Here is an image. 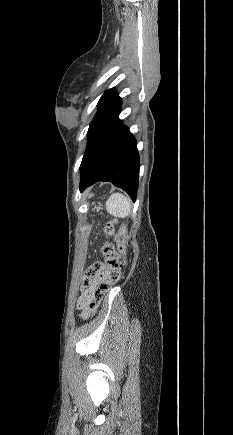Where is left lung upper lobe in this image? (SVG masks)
Masks as SVG:
<instances>
[{
    "instance_id": "obj_1",
    "label": "left lung upper lobe",
    "mask_w": 233,
    "mask_h": 435,
    "mask_svg": "<svg viewBox=\"0 0 233 435\" xmlns=\"http://www.w3.org/2000/svg\"><path fill=\"white\" fill-rule=\"evenodd\" d=\"M98 105L99 110L90 123L87 133L88 145L105 126L118 119L121 108V98L114 92V89H110L103 94Z\"/></svg>"
}]
</instances>
